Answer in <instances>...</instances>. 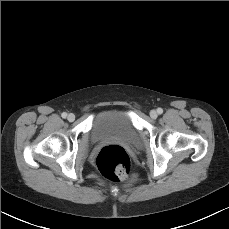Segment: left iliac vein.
Listing matches in <instances>:
<instances>
[{
  "mask_svg": "<svg viewBox=\"0 0 229 229\" xmlns=\"http://www.w3.org/2000/svg\"><path fill=\"white\" fill-rule=\"evenodd\" d=\"M157 116H158V114H157V112L155 110H151L150 111V117L151 118L155 119V118H157Z\"/></svg>",
  "mask_w": 229,
  "mask_h": 229,
  "instance_id": "1",
  "label": "left iliac vein"
}]
</instances>
